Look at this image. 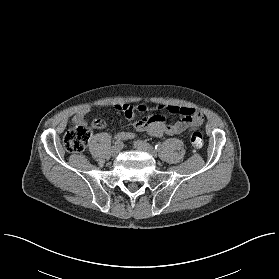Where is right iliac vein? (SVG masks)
Listing matches in <instances>:
<instances>
[{
  "label": "right iliac vein",
  "mask_w": 279,
  "mask_h": 279,
  "mask_svg": "<svg viewBox=\"0 0 279 279\" xmlns=\"http://www.w3.org/2000/svg\"><path fill=\"white\" fill-rule=\"evenodd\" d=\"M119 153H120V147L117 146V145L113 146L112 149H111V155L115 157Z\"/></svg>",
  "instance_id": "obj_1"
}]
</instances>
